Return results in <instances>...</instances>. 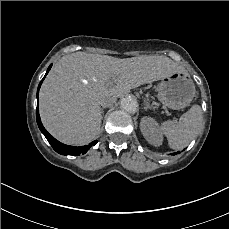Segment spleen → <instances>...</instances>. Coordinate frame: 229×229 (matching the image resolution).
Listing matches in <instances>:
<instances>
[{
	"mask_svg": "<svg viewBox=\"0 0 229 229\" xmlns=\"http://www.w3.org/2000/svg\"><path fill=\"white\" fill-rule=\"evenodd\" d=\"M202 125L201 108L194 105L181 115L178 123L167 120L161 125V132L172 149H182L189 145Z\"/></svg>",
	"mask_w": 229,
	"mask_h": 229,
	"instance_id": "obj_1",
	"label": "spleen"
}]
</instances>
